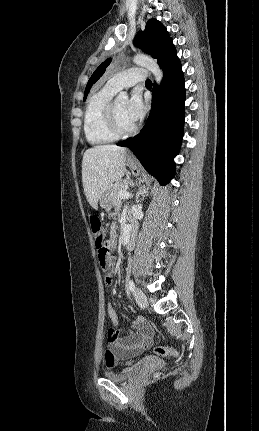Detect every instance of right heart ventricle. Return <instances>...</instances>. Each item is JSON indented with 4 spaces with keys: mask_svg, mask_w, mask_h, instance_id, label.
Here are the masks:
<instances>
[{
    "mask_svg": "<svg viewBox=\"0 0 259 431\" xmlns=\"http://www.w3.org/2000/svg\"><path fill=\"white\" fill-rule=\"evenodd\" d=\"M117 91L104 86L93 93L86 105L83 128L87 142L92 146H101L117 140L108 128L106 121L107 106Z\"/></svg>",
    "mask_w": 259,
    "mask_h": 431,
    "instance_id": "1",
    "label": "right heart ventricle"
}]
</instances>
